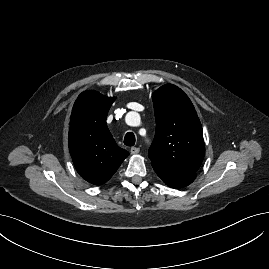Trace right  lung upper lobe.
<instances>
[{"instance_id": "1", "label": "right lung upper lobe", "mask_w": 269, "mask_h": 269, "mask_svg": "<svg viewBox=\"0 0 269 269\" xmlns=\"http://www.w3.org/2000/svg\"><path fill=\"white\" fill-rule=\"evenodd\" d=\"M115 98L84 91L75 101L69 131V150L77 172L89 183L107 182L129 155L113 139L106 125Z\"/></svg>"}]
</instances>
